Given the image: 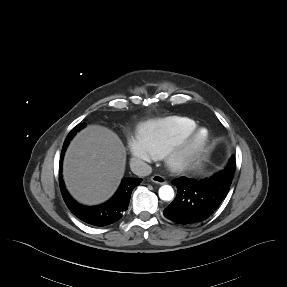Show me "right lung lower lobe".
Listing matches in <instances>:
<instances>
[{
  "label": "right lung lower lobe",
  "mask_w": 287,
  "mask_h": 287,
  "mask_svg": "<svg viewBox=\"0 0 287 287\" xmlns=\"http://www.w3.org/2000/svg\"><path fill=\"white\" fill-rule=\"evenodd\" d=\"M83 126L78 129L81 130L86 126L85 123L82 124ZM69 133L67 136L62 152L60 157L59 163V184L63 199L69 208V210L81 221L97 227H103L110 224H113L120 220L128 209L129 202H130V195L132 190L140 184L142 181L141 178H125L122 180L118 190L114 194V196L108 200L107 202L98 205V206H84L78 202H76L68 193L67 189L65 188V184L62 178V160L65 153V150L69 144V141L73 138L76 134Z\"/></svg>",
  "instance_id": "right-lung-lower-lobe-1"
}]
</instances>
